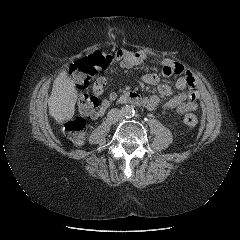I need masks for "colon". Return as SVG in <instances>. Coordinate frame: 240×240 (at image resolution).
Masks as SVG:
<instances>
[{"label":"colon","mask_w":240,"mask_h":240,"mask_svg":"<svg viewBox=\"0 0 240 240\" xmlns=\"http://www.w3.org/2000/svg\"><path fill=\"white\" fill-rule=\"evenodd\" d=\"M112 61V57L100 51L83 57L70 68L72 79L79 89H85L98 70L106 68ZM99 102L97 98L87 93H81L79 97V110L84 115H93L98 111ZM188 126H195L198 122L194 114H187L184 118ZM64 132L75 144L82 145L87 135V124L84 118L78 117L66 123Z\"/></svg>","instance_id":"colon-1"}]
</instances>
